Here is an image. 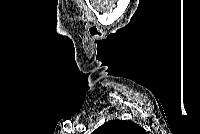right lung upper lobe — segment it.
Listing matches in <instances>:
<instances>
[{
    "instance_id": "1",
    "label": "right lung upper lobe",
    "mask_w": 200,
    "mask_h": 134,
    "mask_svg": "<svg viewBox=\"0 0 200 134\" xmlns=\"http://www.w3.org/2000/svg\"><path fill=\"white\" fill-rule=\"evenodd\" d=\"M94 134H145V130L132 121L127 120H112L99 128Z\"/></svg>"
}]
</instances>
